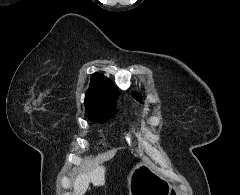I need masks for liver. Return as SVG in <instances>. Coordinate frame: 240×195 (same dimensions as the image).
Listing matches in <instances>:
<instances>
[{
  "mask_svg": "<svg viewBox=\"0 0 240 195\" xmlns=\"http://www.w3.org/2000/svg\"><path fill=\"white\" fill-rule=\"evenodd\" d=\"M105 169L104 165H96L91 171L78 173L73 181L75 195H83L88 189L90 181L93 185H105Z\"/></svg>",
  "mask_w": 240,
  "mask_h": 195,
  "instance_id": "6515ba94",
  "label": "liver"
}]
</instances>
